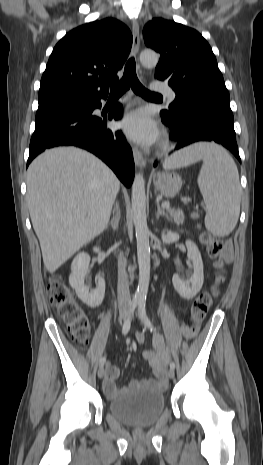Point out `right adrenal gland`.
Returning a JSON list of instances; mask_svg holds the SVG:
<instances>
[{
    "label": "right adrenal gland",
    "mask_w": 263,
    "mask_h": 465,
    "mask_svg": "<svg viewBox=\"0 0 263 465\" xmlns=\"http://www.w3.org/2000/svg\"><path fill=\"white\" fill-rule=\"evenodd\" d=\"M119 219H120V210L117 207L116 214L113 216L111 222L108 224V226H111L113 230H116L118 228L119 224Z\"/></svg>",
    "instance_id": "right-adrenal-gland-1"
}]
</instances>
